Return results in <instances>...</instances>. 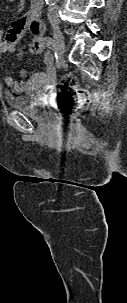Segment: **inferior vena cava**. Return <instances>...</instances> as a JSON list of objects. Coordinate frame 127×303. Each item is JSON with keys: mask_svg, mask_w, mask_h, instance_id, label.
Here are the masks:
<instances>
[{"mask_svg": "<svg viewBox=\"0 0 127 303\" xmlns=\"http://www.w3.org/2000/svg\"><path fill=\"white\" fill-rule=\"evenodd\" d=\"M55 1H58V0H55ZM48 18L49 19H56V20H58L59 19V15H58V7H57V5H53V6H51L50 8H49V10H48Z\"/></svg>", "mask_w": 127, "mask_h": 303, "instance_id": "1", "label": "inferior vena cava"}]
</instances>
